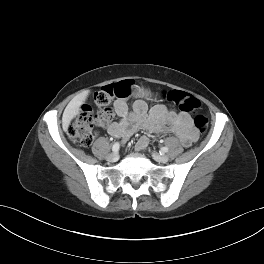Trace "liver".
Returning <instances> with one entry per match:
<instances>
[{
    "mask_svg": "<svg viewBox=\"0 0 264 264\" xmlns=\"http://www.w3.org/2000/svg\"><path fill=\"white\" fill-rule=\"evenodd\" d=\"M90 91L85 90L82 93L76 95L66 106L62 116V127L66 131L71 120L79 114L80 107L86 101Z\"/></svg>",
    "mask_w": 264,
    "mask_h": 264,
    "instance_id": "obj_1",
    "label": "liver"
}]
</instances>
